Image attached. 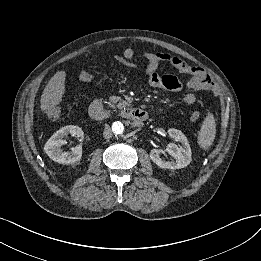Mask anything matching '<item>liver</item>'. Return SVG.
Here are the masks:
<instances>
[{
    "label": "liver",
    "mask_w": 261,
    "mask_h": 261,
    "mask_svg": "<svg viewBox=\"0 0 261 261\" xmlns=\"http://www.w3.org/2000/svg\"><path fill=\"white\" fill-rule=\"evenodd\" d=\"M65 71H57L46 85L40 102L41 111H49L62 101L65 92Z\"/></svg>",
    "instance_id": "liver-1"
}]
</instances>
